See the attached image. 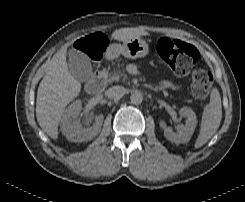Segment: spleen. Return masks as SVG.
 <instances>
[{"label":"spleen","instance_id":"spleen-1","mask_svg":"<svg viewBox=\"0 0 245 202\" xmlns=\"http://www.w3.org/2000/svg\"><path fill=\"white\" fill-rule=\"evenodd\" d=\"M222 119V106L219 91L213 88L210 102L204 108L201 128L195 143V148L203 146L217 131Z\"/></svg>","mask_w":245,"mask_h":202}]
</instances>
